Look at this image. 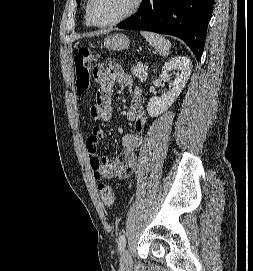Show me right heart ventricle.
Listing matches in <instances>:
<instances>
[{
	"label": "right heart ventricle",
	"instance_id": "1",
	"mask_svg": "<svg viewBox=\"0 0 253 271\" xmlns=\"http://www.w3.org/2000/svg\"><path fill=\"white\" fill-rule=\"evenodd\" d=\"M84 18H85V24H86L88 27H91L93 24L91 23V21H90L88 15H87V6H86V8H85V16H84Z\"/></svg>",
	"mask_w": 253,
	"mask_h": 271
}]
</instances>
